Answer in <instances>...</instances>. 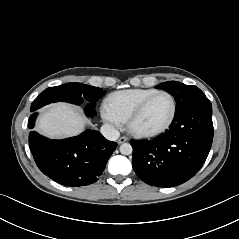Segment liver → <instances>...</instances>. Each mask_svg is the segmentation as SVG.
Here are the masks:
<instances>
[{
	"label": "liver",
	"instance_id": "6515ba94",
	"mask_svg": "<svg viewBox=\"0 0 239 239\" xmlns=\"http://www.w3.org/2000/svg\"><path fill=\"white\" fill-rule=\"evenodd\" d=\"M87 123L83 113L75 107L56 103L40 116L36 130L51 138H62L79 134Z\"/></svg>",
	"mask_w": 239,
	"mask_h": 239
}]
</instances>
